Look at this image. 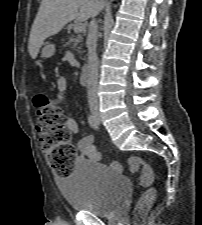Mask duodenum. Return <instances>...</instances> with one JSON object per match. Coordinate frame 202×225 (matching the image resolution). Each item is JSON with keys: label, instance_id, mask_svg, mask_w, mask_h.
I'll return each mask as SVG.
<instances>
[{"label": "duodenum", "instance_id": "1", "mask_svg": "<svg viewBox=\"0 0 202 225\" xmlns=\"http://www.w3.org/2000/svg\"><path fill=\"white\" fill-rule=\"evenodd\" d=\"M81 80L84 84H88L90 81V69L87 64L83 65L81 69Z\"/></svg>", "mask_w": 202, "mask_h": 225}]
</instances>
